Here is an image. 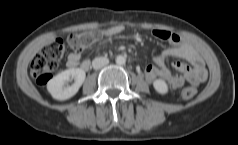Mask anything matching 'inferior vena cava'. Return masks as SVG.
<instances>
[{"instance_id":"inferior-vena-cava-1","label":"inferior vena cava","mask_w":238,"mask_h":145,"mask_svg":"<svg viewBox=\"0 0 238 145\" xmlns=\"http://www.w3.org/2000/svg\"><path fill=\"white\" fill-rule=\"evenodd\" d=\"M109 64V59L107 57H96L92 61V66L95 70L101 69Z\"/></svg>"}]
</instances>
